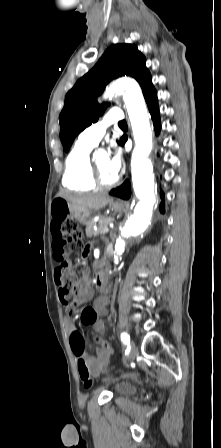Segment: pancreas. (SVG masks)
I'll return each mask as SVG.
<instances>
[{
  "instance_id": "cf45deb5",
  "label": "pancreas",
  "mask_w": 221,
  "mask_h": 448,
  "mask_svg": "<svg viewBox=\"0 0 221 448\" xmlns=\"http://www.w3.org/2000/svg\"><path fill=\"white\" fill-rule=\"evenodd\" d=\"M113 218L112 217H107V216H101L99 221H98V231H94L93 230V226L92 223L90 222L86 228V235L88 237L91 236H96L98 235V233L100 232L101 229H103L105 226H107L109 223L113 222Z\"/></svg>"
}]
</instances>
